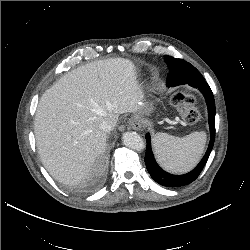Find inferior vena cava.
Returning a JSON list of instances; mask_svg holds the SVG:
<instances>
[{
	"instance_id": "inferior-vena-cava-1",
	"label": "inferior vena cava",
	"mask_w": 250,
	"mask_h": 250,
	"mask_svg": "<svg viewBox=\"0 0 250 250\" xmlns=\"http://www.w3.org/2000/svg\"><path fill=\"white\" fill-rule=\"evenodd\" d=\"M113 127V124H112V121L110 120H103L100 125H99V128L104 131V132H109L111 131Z\"/></svg>"
}]
</instances>
